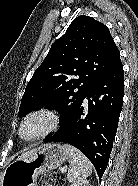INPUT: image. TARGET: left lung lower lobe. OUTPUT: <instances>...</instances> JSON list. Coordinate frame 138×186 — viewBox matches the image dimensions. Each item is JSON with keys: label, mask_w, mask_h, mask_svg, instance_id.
Returning a JSON list of instances; mask_svg holds the SVG:
<instances>
[{"label": "left lung lower lobe", "mask_w": 138, "mask_h": 186, "mask_svg": "<svg viewBox=\"0 0 138 186\" xmlns=\"http://www.w3.org/2000/svg\"><path fill=\"white\" fill-rule=\"evenodd\" d=\"M124 74L119 60L91 86L82 103L67 121L45 142L68 143L81 152L94 165L99 178L107 167L123 105Z\"/></svg>", "instance_id": "left-lung-lower-lobe-1"}]
</instances>
